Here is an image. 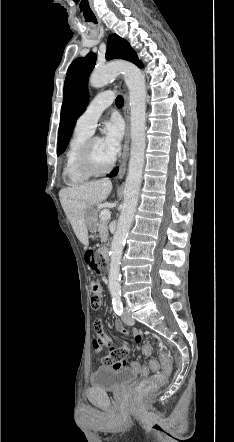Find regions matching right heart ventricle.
I'll use <instances>...</instances> for the list:
<instances>
[{"label": "right heart ventricle", "mask_w": 234, "mask_h": 442, "mask_svg": "<svg viewBox=\"0 0 234 442\" xmlns=\"http://www.w3.org/2000/svg\"><path fill=\"white\" fill-rule=\"evenodd\" d=\"M91 134L74 129L65 154L63 175L70 185H79L87 182L91 176L84 173L78 165V156L84 143Z\"/></svg>", "instance_id": "right-heart-ventricle-1"}]
</instances>
